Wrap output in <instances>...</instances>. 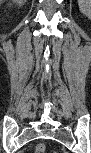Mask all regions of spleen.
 Returning a JSON list of instances; mask_svg holds the SVG:
<instances>
[{
    "instance_id": "1",
    "label": "spleen",
    "mask_w": 91,
    "mask_h": 153,
    "mask_svg": "<svg viewBox=\"0 0 91 153\" xmlns=\"http://www.w3.org/2000/svg\"><path fill=\"white\" fill-rule=\"evenodd\" d=\"M80 11L86 15L90 16L91 14V1L90 0H79L78 1Z\"/></svg>"
}]
</instances>
